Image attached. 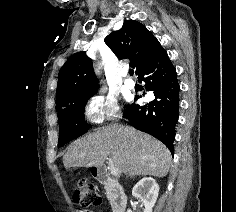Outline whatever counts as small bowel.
I'll list each match as a JSON object with an SVG mask.
<instances>
[{"label":"small bowel","mask_w":236,"mask_h":212,"mask_svg":"<svg viewBox=\"0 0 236 212\" xmlns=\"http://www.w3.org/2000/svg\"><path fill=\"white\" fill-rule=\"evenodd\" d=\"M78 212H93V211H88V209H79Z\"/></svg>","instance_id":"1"}]
</instances>
